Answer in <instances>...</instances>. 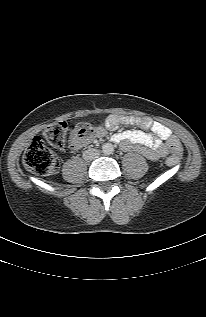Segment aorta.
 Instances as JSON below:
<instances>
[{
	"label": "aorta",
	"mask_w": 206,
	"mask_h": 317,
	"mask_svg": "<svg viewBox=\"0 0 206 317\" xmlns=\"http://www.w3.org/2000/svg\"><path fill=\"white\" fill-rule=\"evenodd\" d=\"M102 152L105 154V155H110L114 152V148H113V145L111 143H105L103 146H102Z\"/></svg>",
	"instance_id": "aorta-1"
}]
</instances>
